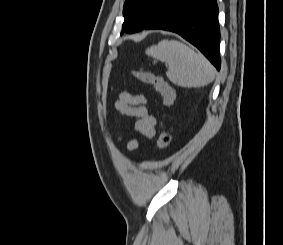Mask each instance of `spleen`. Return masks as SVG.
<instances>
[{"label":"spleen","instance_id":"obj_1","mask_svg":"<svg viewBox=\"0 0 283 245\" xmlns=\"http://www.w3.org/2000/svg\"><path fill=\"white\" fill-rule=\"evenodd\" d=\"M146 54L168 64L166 76L180 87H203L215 78L211 63L180 41L162 40L147 48Z\"/></svg>","mask_w":283,"mask_h":245}]
</instances>
